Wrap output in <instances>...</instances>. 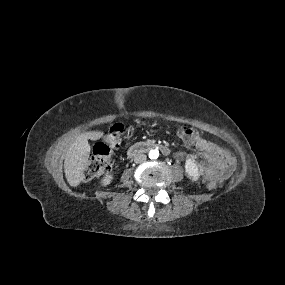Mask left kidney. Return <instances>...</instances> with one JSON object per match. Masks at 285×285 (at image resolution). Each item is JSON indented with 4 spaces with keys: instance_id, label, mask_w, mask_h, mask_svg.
I'll list each match as a JSON object with an SVG mask.
<instances>
[{
    "instance_id": "obj_1",
    "label": "left kidney",
    "mask_w": 285,
    "mask_h": 285,
    "mask_svg": "<svg viewBox=\"0 0 285 285\" xmlns=\"http://www.w3.org/2000/svg\"><path fill=\"white\" fill-rule=\"evenodd\" d=\"M185 171L186 174L194 180L198 179L200 176L198 165L192 160L186 161Z\"/></svg>"
}]
</instances>
